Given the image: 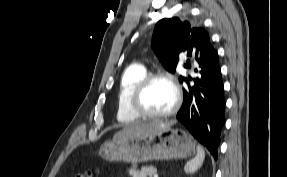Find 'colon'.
<instances>
[{
    "label": "colon",
    "instance_id": "colon-1",
    "mask_svg": "<svg viewBox=\"0 0 287 177\" xmlns=\"http://www.w3.org/2000/svg\"><path fill=\"white\" fill-rule=\"evenodd\" d=\"M73 177H92V172L79 173L74 175Z\"/></svg>",
    "mask_w": 287,
    "mask_h": 177
}]
</instances>
